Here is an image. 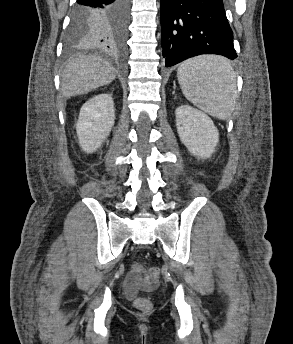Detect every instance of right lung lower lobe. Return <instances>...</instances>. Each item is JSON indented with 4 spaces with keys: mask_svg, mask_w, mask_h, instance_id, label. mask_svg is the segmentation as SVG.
<instances>
[{
    "mask_svg": "<svg viewBox=\"0 0 293 344\" xmlns=\"http://www.w3.org/2000/svg\"><path fill=\"white\" fill-rule=\"evenodd\" d=\"M75 11L90 18L88 44L121 51L127 35L129 0H77Z\"/></svg>",
    "mask_w": 293,
    "mask_h": 344,
    "instance_id": "98d812e1",
    "label": "right lung lower lobe"
}]
</instances>
